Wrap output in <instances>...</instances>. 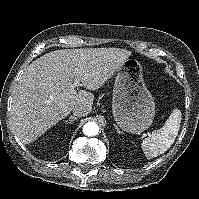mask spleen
<instances>
[{"instance_id": "spleen-1", "label": "spleen", "mask_w": 199, "mask_h": 199, "mask_svg": "<svg viewBox=\"0 0 199 199\" xmlns=\"http://www.w3.org/2000/svg\"><path fill=\"white\" fill-rule=\"evenodd\" d=\"M181 111L174 109L164 126L142 141V150L148 159L165 153L174 143L181 122Z\"/></svg>"}]
</instances>
